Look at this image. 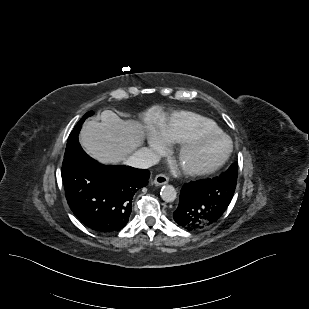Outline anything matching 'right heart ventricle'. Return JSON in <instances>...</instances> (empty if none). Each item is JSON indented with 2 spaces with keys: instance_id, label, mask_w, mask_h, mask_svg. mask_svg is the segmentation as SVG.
Instances as JSON below:
<instances>
[{
  "instance_id": "1",
  "label": "right heart ventricle",
  "mask_w": 309,
  "mask_h": 309,
  "mask_svg": "<svg viewBox=\"0 0 309 309\" xmlns=\"http://www.w3.org/2000/svg\"><path fill=\"white\" fill-rule=\"evenodd\" d=\"M157 134L173 144H180L201 132H221L219 126L209 118L190 111H179L158 123Z\"/></svg>"
}]
</instances>
